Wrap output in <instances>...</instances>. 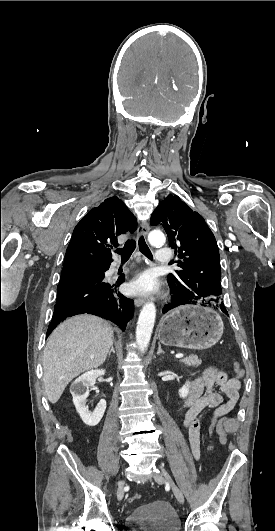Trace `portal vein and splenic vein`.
Segmentation results:
<instances>
[{
    "mask_svg": "<svg viewBox=\"0 0 275 531\" xmlns=\"http://www.w3.org/2000/svg\"><path fill=\"white\" fill-rule=\"evenodd\" d=\"M176 359H182V357H184V355H182V353H178V355H175Z\"/></svg>",
    "mask_w": 275,
    "mask_h": 531,
    "instance_id": "portal-vein-and-splenic-vein-1",
    "label": "portal vein and splenic vein"
}]
</instances>
